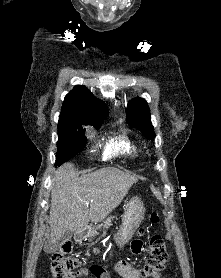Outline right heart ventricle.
<instances>
[{"label": "right heart ventricle", "mask_w": 221, "mask_h": 278, "mask_svg": "<svg viewBox=\"0 0 221 278\" xmlns=\"http://www.w3.org/2000/svg\"><path fill=\"white\" fill-rule=\"evenodd\" d=\"M138 150L137 144L126 134H118L107 142L104 158L117 155L133 156L138 153Z\"/></svg>", "instance_id": "right-heart-ventricle-1"}]
</instances>
